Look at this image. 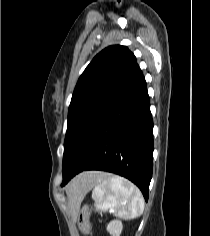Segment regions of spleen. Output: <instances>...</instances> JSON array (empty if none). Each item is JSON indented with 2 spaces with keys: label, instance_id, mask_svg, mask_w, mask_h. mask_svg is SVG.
Instances as JSON below:
<instances>
[{
  "label": "spleen",
  "instance_id": "obj_1",
  "mask_svg": "<svg viewBox=\"0 0 210 236\" xmlns=\"http://www.w3.org/2000/svg\"><path fill=\"white\" fill-rule=\"evenodd\" d=\"M92 198L96 210L114 211L121 219H134L144 210V199L138 188L130 181L118 176L103 174L92 182Z\"/></svg>",
  "mask_w": 210,
  "mask_h": 236
}]
</instances>
